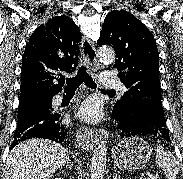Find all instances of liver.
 I'll use <instances>...</instances> for the list:
<instances>
[{"mask_svg": "<svg viewBox=\"0 0 183 179\" xmlns=\"http://www.w3.org/2000/svg\"><path fill=\"white\" fill-rule=\"evenodd\" d=\"M67 160V152L60 144L29 139L11 150L3 179H50Z\"/></svg>", "mask_w": 183, "mask_h": 179, "instance_id": "1", "label": "liver"}]
</instances>
